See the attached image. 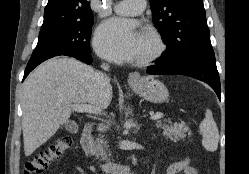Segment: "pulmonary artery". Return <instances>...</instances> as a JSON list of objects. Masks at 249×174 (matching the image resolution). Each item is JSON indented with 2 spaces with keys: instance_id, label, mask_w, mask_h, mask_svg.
Returning a JSON list of instances; mask_svg holds the SVG:
<instances>
[{
  "instance_id": "e3ab8cb5",
  "label": "pulmonary artery",
  "mask_w": 249,
  "mask_h": 174,
  "mask_svg": "<svg viewBox=\"0 0 249 174\" xmlns=\"http://www.w3.org/2000/svg\"><path fill=\"white\" fill-rule=\"evenodd\" d=\"M145 7V0H122L114 6L119 14L136 15Z\"/></svg>"
}]
</instances>
